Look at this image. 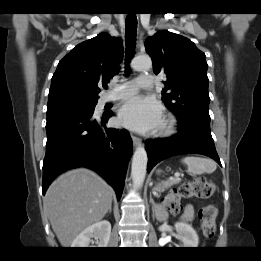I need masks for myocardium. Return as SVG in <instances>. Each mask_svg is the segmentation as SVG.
Segmentation results:
<instances>
[{"mask_svg":"<svg viewBox=\"0 0 261 261\" xmlns=\"http://www.w3.org/2000/svg\"><path fill=\"white\" fill-rule=\"evenodd\" d=\"M175 120L173 117L168 116L162 123V131L164 133H171L174 129Z\"/></svg>","mask_w":261,"mask_h":261,"instance_id":"1","label":"myocardium"}]
</instances>
